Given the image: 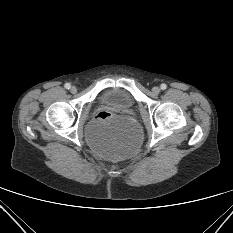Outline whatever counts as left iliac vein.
Masks as SVG:
<instances>
[{"mask_svg":"<svg viewBox=\"0 0 233 233\" xmlns=\"http://www.w3.org/2000/svg\"><path fill=\"white\" fill-rule=\"evenodd\" d=\"M152 91H153L154 94H159L160 88L155 86V87L152 88Z\"/></svg>","mask_w":233,"mask_h":233,"instance_id":"1","label":"left iliac vein"}]
</instances>
